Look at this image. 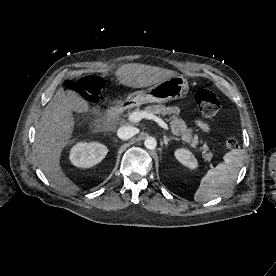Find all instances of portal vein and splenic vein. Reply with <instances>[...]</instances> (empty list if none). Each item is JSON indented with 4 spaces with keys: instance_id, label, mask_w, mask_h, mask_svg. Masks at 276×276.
I'll list each match as a JSON object with an SVG mask.
<instances>
[{
    "instance_id": "1",
    "label": "portal vein and splenic vein",
    "mask_w": 276,
    "mask_h": 276,
    "mask_svg": "<svg viewBox=\"0 0 276 276\" xmlns=\"http://www.w3.org/2000/svg\"><path fill=\"white\" fill-rule=\"evenodd\" d=\"M143 118H147V119H153L155 120L163 129L165 130H169V127L167 125V123L165 121H163L161 118L154 116L151 113H147L145 111H141V112H134L132 114L129 115L128 120L130 122L136 123L141 121Z\"/></svg>"
}]
</instances>
